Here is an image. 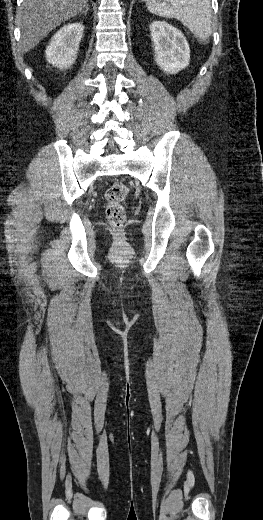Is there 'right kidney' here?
Listing matches in <instances>:
<instances>
[{
  "instance_id": "right-kidney-1",
  "label": "right kidney",
  "mask_w": 263,
  "mask_h": 520,
  "mask_svg": "<svg viewBox=\"0 0 263 520\" xmlns=\"http://www.w3.org/2000/svg\"><path fill=\"white\" fill-rule=\"evenodd\" d=\"M83 31L81 22L64 25L54 34L46 48L47 61L60 70L70 68L75 63Z\"/></svg>"
}]
</instances>
